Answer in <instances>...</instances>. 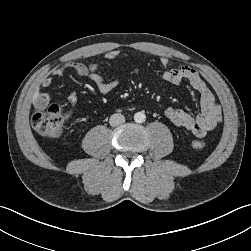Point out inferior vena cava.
Listing matches in <instances>:
<instances>
[{
  "label": "inferior vena cava",
  "instance_id": "1",
  "mask_svg": "<svg viewBox=\"0 0 251 251\" xmlns=\"http://www.w3.org/2000/svg\"><path fill=\"white\" fill-rule=\"evenodd\" d=\"M125 122V117L122 114H113L109 119V123L111 126L115 127L121 125Z\"/></svg>",
  "mask_w": 251,
  "mask_h": 251
}]
</instances>
